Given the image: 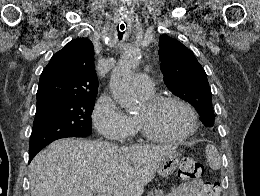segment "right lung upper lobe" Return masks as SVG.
I'll return each mask as SVG.
<instances>
[{
    "mask_svg": "<svg viewBox=\"0 0 260 196\" xmlns=\"http://www.w3.org/2000/svg\"><path fill=\"white\" fill-rule=\"evenodd\" d=\"M94 49L89 39L69 42L43 70L37 91V106L80 94H97Z\"/></svg>",
    "mask_w": 260,
    "mask_h": 196,
    "instance_id": "obj_1",
    "label": "right lung upper lobe"
}]
</instances>
